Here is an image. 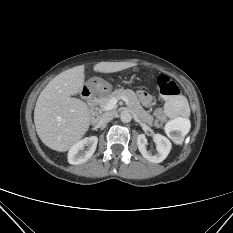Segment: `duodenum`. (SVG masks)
<instances>
[{"label": "duodenum", "mask_w": 233, "mask_h": 233, "mask_svg": "<svg viewBox=\"0 0 233 233\" xmlns=\"http://www.w3.org/2000/svg\"><path fill=\"white\" fill-rule=\"evenodd\" d=\"M82 95L88 101L89 105L92 107V121H97V119L99 117V113L95 109V99H94L92 89L85 87L82 90Z\"/></svg>", "instance_id": "duodenum-1"}]
</instances>
